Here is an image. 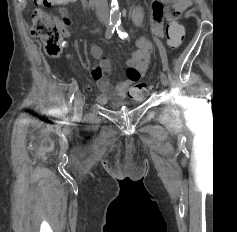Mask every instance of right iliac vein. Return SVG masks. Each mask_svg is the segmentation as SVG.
Here are the masks:
<instances>
[{
	"instance_id": "right-iliac-vein-1",
	"label": "right iliac vein",
	"mask_w": 237,
	"mask_h": 232,
	"mask_svg": "<svg viewBox=\"0 0 237 232\" xmlns=\"http://www.w3.org/2000/svg\"><path fill=\"white\" fill-rule=\"evenodd\" d=\"M83 99L80 91H77L74 99V117L79 119L82 116L83 112Z\"/></svg>"
}]
</instances>
